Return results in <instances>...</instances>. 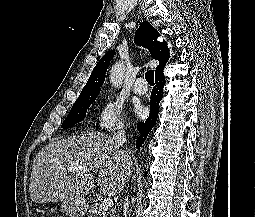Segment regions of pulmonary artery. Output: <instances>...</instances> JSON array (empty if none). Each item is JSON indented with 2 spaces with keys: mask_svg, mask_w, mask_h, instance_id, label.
<instances>
[{
  "mask_svg": "<svg viewBox=\"0 0 255 217\" xmlns=\"http://www.w3.org/2000/svg\"><path fill=\"white\" fill-rule=\"evenodd\" d=\"M145 82V79L143 77L137 78L135 81V84L133 86V91L137 95H145L147 93V87L142 85Z\"/></svg>",
  "mask_w": 255,
  "mask_h": 217,
  "instance_id": "e3ab8cb5",
  "label": "pulmonary artery"
}]
</instances>
